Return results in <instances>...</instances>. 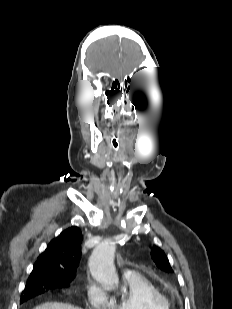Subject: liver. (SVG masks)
Here are the masks:
<instances>
[{
  "label": "liver",
  "instance_id": "6515ba94",
  "mask_svg": "<svg viewBox=\"0 0 232 309\" xmlns=\"http://www.w3.org/2000/svg\"><path fill=\"white\" fill-rule=\"evenodd\" d=\"M34 309H81V308L59 302H47L35 307Z\"/></svg>",
  "mask_w": 232,
  "mask_h": 309
}]
</instances>
